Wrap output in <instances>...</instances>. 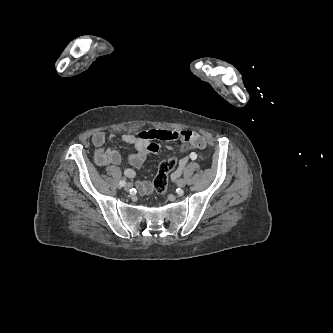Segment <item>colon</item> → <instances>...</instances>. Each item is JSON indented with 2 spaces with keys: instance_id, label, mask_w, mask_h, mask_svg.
I'll list each match as a JSON object with an SVG mask.
<instances>
[{
  "instance_id": "colon-1",
  "label": "colon",
  "mask_w": 333,
  "mask_h": 333,
  "mask_svg": "<svg viewBox=\"0 0 333 333\" xmlns=\"http://www.w3.org/2000/svg\"><path fill=\"white\" fill-rule=\"evenodd\" d=\"M189 148L190 144L188 140H183L181 144V151H188ZM176 162L177 160L175 156H169L160 162L158 172L153 181L154 189L158 194H165L168 186V175L174 169Z\"/></svg>"
}]
</instances>
